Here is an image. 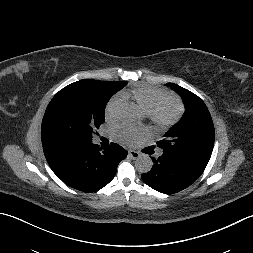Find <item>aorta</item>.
I'll return each mask as SVG.
<instances>
[{"label": "aorta", "mask_w": 253, "mask_h": 253, "mask_svg": "<svg viewBox=\"0 0 253 253\" xmlns=\"http://www.w3.org/2000/svg\"><path fill=\"white\" fill-rule=\"evenodd\" d=\"M142 112L135 104H126L121 111V119L128 124H135L141 120ZM153 162L146 155H140L135 162V167L140 173H147L151 170Z\"/></svg>", "instance_id": "obj_1"}]
</instances>
